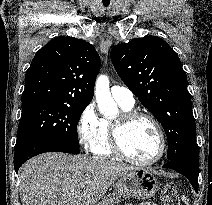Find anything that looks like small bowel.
I'll use <instances>...</instances> for the list:
<instances>
[{"label":"small bowel","instance_id":"small-bowel-1","mask_svg":"<svg viewBox=\"0 0 212 205\" xmlns=\"http://www.w3.org/2000/svg\"><path fill=\"white\" fill-rule=\"evenodd\" d=\"M126 205H130V204H126ZM138 205H156V204H153V203H141V204H138Z\"/></svg>","mask_w":212,"mask_h":205}]
</instances>
